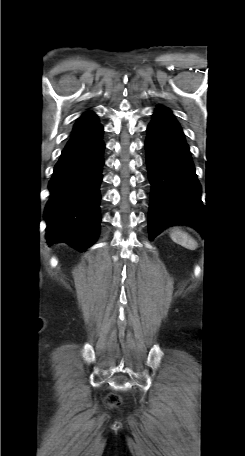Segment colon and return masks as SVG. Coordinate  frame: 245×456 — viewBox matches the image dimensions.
<instances>
[{"label":"colon","instance_id":"colon-1","mask_svg":"<svg viewBox=\"0 0 245 456\" xmlns=\"http://www.w3.org/2000/svg\"><path fill=\"white\" fill-rule=\"evenodd\" d=\"M106 403H107V405H109L110 407H114V406L119 405V403H120V396H119V394L116 393V392L110 393V394L106 397Z\"/></svg>","mask_w":245,"mask_h":456}]
</instances>
